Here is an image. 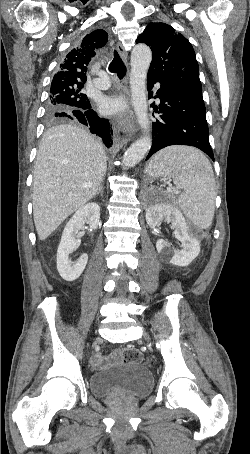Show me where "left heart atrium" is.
Wrapping results in <instances>:
<instances>
[{
    "mask_svg": "<svg viewBox=\"0 0 250 454\" xmlns=\"http://www.w3.org/2000/svg\"><path fill=\"white\" fill-rule=\"evenodd\" d=\"M99 109L104 115H113L124 109V102L118 97H104L99 103Z\"/></svg>",
    "mask_w": 250,
    "mask_h": 454,
    "instance_id": "1",
    "label": "left heart atrium"
}]
</instances>
